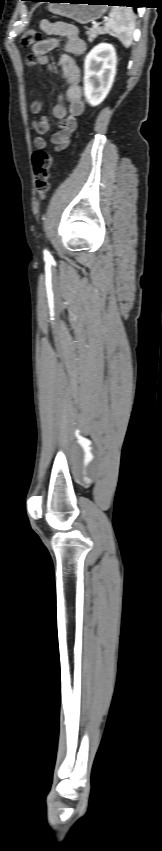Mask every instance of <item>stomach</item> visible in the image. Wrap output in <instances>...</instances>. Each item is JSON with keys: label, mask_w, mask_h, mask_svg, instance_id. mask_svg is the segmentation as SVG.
Returning <instances> with one entry per match:
<instances>
[{"label": "stomach", "mask_w": 162, "mask_h": 851, "mask_svg": "<svg viewBox=\"0 0 162 851\" xmlns=\"http://www.w3.org/2000/svg\"><path fill=\"white\" fill-rule=\"evenodd\" d=\"M50 12L87 24L102 17L106 12V0H50Z\"/></svg>", "instance_id": "obj_1"}]
</instances>
